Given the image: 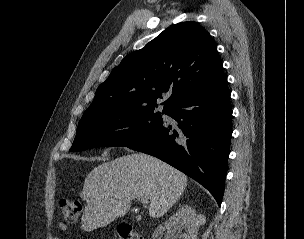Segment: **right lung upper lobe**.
I'll list each match as a JSON object with an SVG mask.
<instances>
[{
    "label": "right lung upper lobe",
    "mask_w": 304,
    "mask_h": 239,
    "mask_svg": "<svg viewBox=\"0 0 304 239\" xmlns=\"http://www.w3.org/2000/svg\"><path fill=\"white\" fill-rule=\"evenodd\" d=\"M222 62L215 42L198 23H178L144 48L126 56L97 89L82 118L129 106L156 105L169 93L164 108L215 80Z\"/></svg>",
    "instance_id": "obj_1"
}]
</instances>
